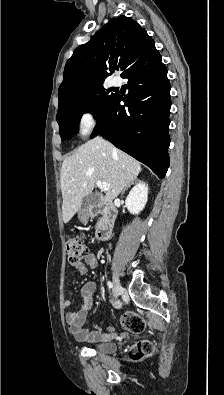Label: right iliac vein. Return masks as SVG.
<instances>
[{
	"label": "right iliac vein",
	"mask_w": 224,
	"mask_h": 395,
	"mask_svg": "<svg viewBox=\"0 0 224 395\" xmlns=\"http://www.w3.org/2000/svg\"><path fill=\"white\" fill-rule=\"evenodd\" d=\"M114 296L117 298L123 291L120 281L116 274H113Z\"/></svg>",
	"instance_id": "right-iliac-vein-1"
}]
</instances>
